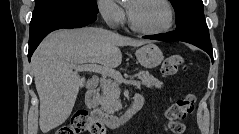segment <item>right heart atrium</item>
I'll list each match as a JSON object with an SVG mask.
<instances>
[{
  "mask_svg": "<svg viewBox=\"0 0 239 134\" xmlns=\"http://www.w3.org/2000/svg\"><path fill=\"white\" fill-rule=\"evenodd\" d=\"M97 7L103 20L112 26H119L124 22L125 12L115 0H98Z\"/></svg>",
  "mask_w": 239,
  "mask_h": 134,
  "instance_id": "d8ad5b80",
  "label": "right heart atrium"
}]
</instances>
